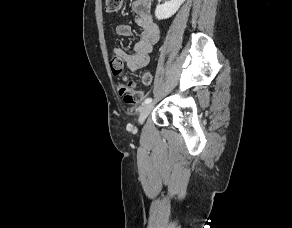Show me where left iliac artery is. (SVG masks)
Instances as JSON below:
<instances>
[{"label":"left iliac artery","mask_w":292,"mask_h":228,"mask_svg":"<svg viewBox=\"0 0 292 228\" xmlns=\"http://www.w3.org/2000/svg\"><path fill=\"white\" fill-rule=\"evenodd\" d=\"M151 102H152V98L148 97V98L145 99L144 104H148V103H151Z\"/></svg>","instance_id":"obj_1"}]
</instances>
